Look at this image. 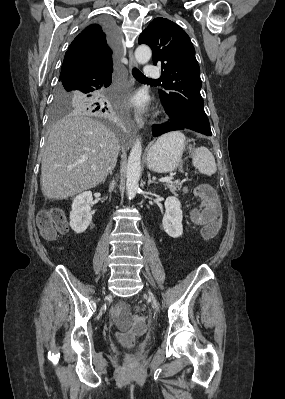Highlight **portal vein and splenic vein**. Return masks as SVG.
Instances as JSON below:
<instances>
[{"label": "portal vein and splenic vein", "mask_w": 285, "mask_h": 399, "mask_svg": "<svg viewBox=\"0 0 285 399\" xmlns=\"http://www.w3.org/2000/svg\"><path fill=\"white\" fill-rule=\"evenodd\" d=\"M92 169L96 170L95 167H93ZM171 180H172V177H170V176L163 177V178L159 179V181L162 182V183H167V182H170Z\"/></svg>", "instance_id": "18ae733b"}]
</instances>
